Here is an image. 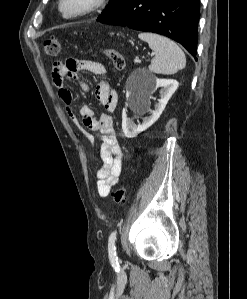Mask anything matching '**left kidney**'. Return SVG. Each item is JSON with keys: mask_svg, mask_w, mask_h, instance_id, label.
I'll list each match as a JSON object with an SVG mask.
<instances>
[{"mask_svg": "<svg viewBox=\"0 0 247 299\" xmlns=\"http://www.w3.org/2000/svg\"><path fill=\"white\" fill-rule=\"evenodd\" d=\"M178 85L179 83L174 79L156 78L150 85V88L144 94H141L139 92L129 91L127 93L128 105L134 111L140 114L148 110L151 94L159 87H161L160 90L161 99H159L158 103L155 105V110L152 112V116H150L149 118H145L143 120V123L140 125L134 124V122L127 117L126 112H123L122 129L124 135L127 138H134L139 133L145 131L150 126H152L159 119L169 99L178 88Z\"/></svg>", "mask_w": 247, "mask_h": 299, "instance_id": "left-kidney-1", "label": "left kidney"}]
</instances>
